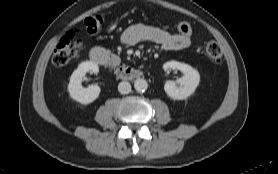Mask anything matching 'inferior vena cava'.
<instances>
[{"mask_svg": "<svg viewBox=\"0 0 278 174\" xmlns=\"http://www.w3.org/2000/svg\"><path fill=\"white\" fill-rule=\"evenodd\" d=\"M118 91L121 94H128L131 91V85L129 82L123 81L118 85Z\"/></svg>", "mask_w": 278, "mask_h": 174, "instance_id": "602c4592", "label": "inferior vena cava"}]
</instances>
